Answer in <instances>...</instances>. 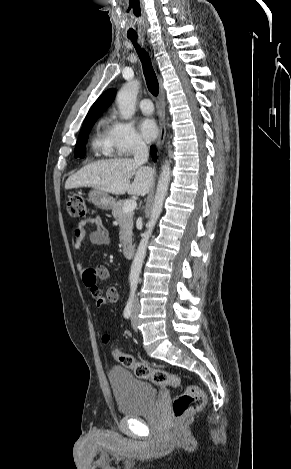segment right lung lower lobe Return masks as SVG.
I'll use <instances>...</instances> for the list:
<instances>
[{
  "mask_svg": "<svg viewBox=\"0 0 291 469\" xmlns=\"http://www.w3.org/2000/svg\"><path fill=\"white\" fill-rule=\"evenodd\" d=\"M155 152H156V149H155L154 146H152V147H151V155H152L154 161L156 160V154H155Z\"/></svg>",
  "mask_w": 291,
  "mask_h": 469,
  "instance_id": "98d812e1",
  "label": "right lung lower lobe"
}]
</instances>
